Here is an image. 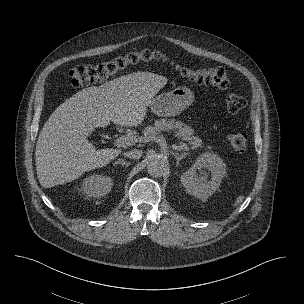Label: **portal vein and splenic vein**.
Returning a JSON list of instances; mask_svg holds the SVG:
<instances>
[{"label":"portal vein and splenic vein","instance_id":"portal-vein-and-splenic-vein-1","mask_svg":"<svg viewBox=\"0 0 304 304\" xmlns=\"http://www.w3.org/2000/svg\"><path fill=\"white\" fill-rule=\"evenodd\" d=\"M136 142H138V139L133 136H121L118 137L115 141L116 145L121 147L130 146ZM179 144H180L179 146L180 149L189 150V147L185 143L180 141Z\"/></svg>","mask_w":304,"mask_h":304}]
</instances>
